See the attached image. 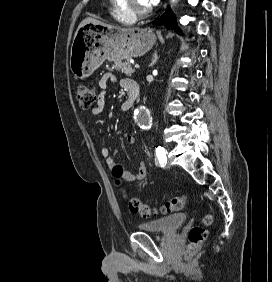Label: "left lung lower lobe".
<instances>
[{
    "label": "left lung lower lobe",
    "mask_w": 272,
    "mask_h": 282,
    "mask_svg": "<svg viewBox=\"0 0 272 282\" xmlns=\"http://www.w3.org/2000/svg\"><path fill=\"white\" fill-rule=\"evenodd\" d=\"M154 23L158 25H164L167 28L174 29L179 34H182L181 30L177 28L175 16L171 12L170 8H168L167 11L161 16V18L156 20Z\"/></svg>",
    "instance_id": "left-lung-lower-lobe-1"
}]
</instances>
